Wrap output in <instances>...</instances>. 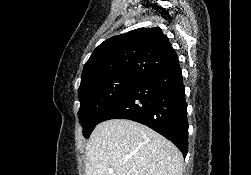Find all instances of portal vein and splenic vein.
<instances>
[{"label":"portal vein and splenic vein","mask_w":251,"mask_h":175,"mask_svg":"<svg viewBox=\"0 0 251 175\" xmlns=\"http://www.w3.org/2000/svg\"><path fill=\"white\" fill-rule=\"evenodd\" d=\"M109 173H114V169H109Z\"/></svg>","instance_id":"1"}]
</instances>
